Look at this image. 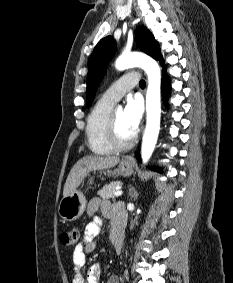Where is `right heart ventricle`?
<instances>
[{"mask_svg":"<svg viewBox=\"0 0 233 283\" xmlns=\"http://www.w3.org/2000/svg\"><path fill=\"white\" fill-rule=\"evenodd\" d=\"M113 105L100 99L88 115L86 124L87 145L90 151L96 155H109L114 151L106 138L107 123Z\"/></svg>","mask_w":233,"mask_h":283,"instance_id":"obj_1","label":"right heart ventricle"}]
</instances>
